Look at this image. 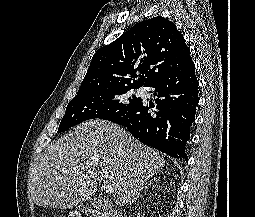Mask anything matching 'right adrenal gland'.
Here are the masks:
<instances>
[{
	"label": "right adrenal gland",
	"instance_id": "right-adrenal-gland-1",
	"mask_svg": "<svg viewBox=\"0 0 255 217\" xmlns=\"http://www.w3.org/2000/svg\"><path fill=\"white\" fill-rule=\"evenodd\" d=\"M157 181V178H152L149 182H147L146 183V185L143 187V188H147V185H149V184H151V182H156ZM142 188V189H143ZM139 191H141V190H139ZM139 191L136 193V195H135V197L133 198V200L130 202V204H132L136 199H137V197L139 196Z\"/></svg>",
	"mask_w": 255,
	"mask_h": 217
}]
</instances>
